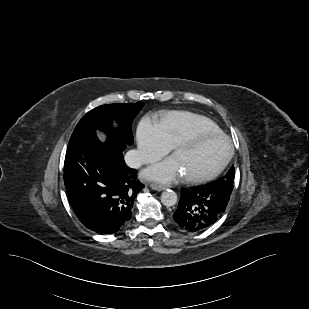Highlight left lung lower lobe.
<instances>
[{"instance_id":"obj_1","label":"left lung lower lobe","mask_w":309,"mask_h":309,"mask_svg":"<svg viewBox=\"0 0 309 309\" xmlns=\"http://www.w3.org/2000/svg\"><path fill=\"white\" fill-rule=\"evenodd\" d=\"M232 189L213 183L183 188L173 219L177 226L188 232H201L215 224L223 215Z\"/></svg>"}]
</instances>
